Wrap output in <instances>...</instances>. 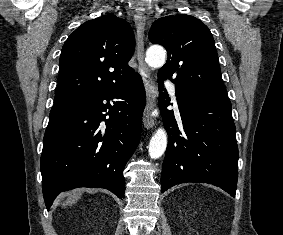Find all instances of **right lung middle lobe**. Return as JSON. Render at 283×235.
Here are the masks:
<instances>
[{
  "mask_svg": "<svg viewBox=\"0 0 283 235\" xmlns=\"http://www.w3.org/2000/svg\"><path fill=\"white\" fill-rule=\"evenodd\" d=\"M72 103L54 104L50 111V119L64 114L71 106Z\"/></svg>",
  "mask_w": 283,
  "mask_h": 235,
  "instance_id": "right-lung-middle-lobe-1",
  "label": "right lung middle lobe"
}]
</instances>
